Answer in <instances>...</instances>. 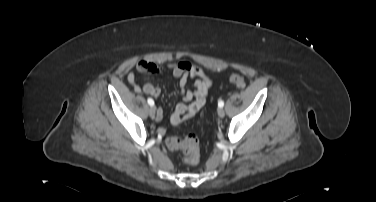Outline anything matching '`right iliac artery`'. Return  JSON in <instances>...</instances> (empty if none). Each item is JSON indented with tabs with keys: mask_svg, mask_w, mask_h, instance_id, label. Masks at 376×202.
<instances>
[{
	"mask_svg": "<svg viewBox=\"0 0 376 202\" xmlns=\"http://www.w3.org/2000/svg\"><path fill=\"white\" fill-rule=\"evenodd\" d=\"M147 102H148V104H149L150 106H153V105H154V101H153L152 98H148Z\"/></svg>",
	"mask_w": 376,
	"mask_h": 202,
	"instance_id": "obj_1",
	"label": "right iliac artery"
}]
</instances>
